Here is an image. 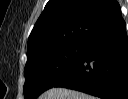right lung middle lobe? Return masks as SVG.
<instances>
[{
    "mask_svg": "<svg viewBox=\"0 0 128 99\" xmlns=\"http://www.w3.org/2000/svg\"><path fill=\"white\" fill-rule=\"evenodd\" d=\"M85 43H71L42 52L27 59L25 65V99H34L52 88L79 61Z\"/></svg>",
    "mask_w": 128,
    "mask_h": 99,
    "instance_id": "obj_1",
    "label": "right lung middle lobe"
}]
</instances>
